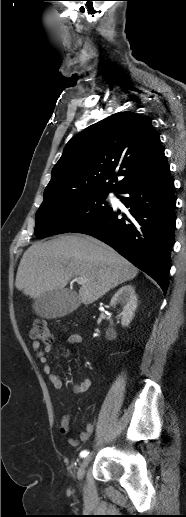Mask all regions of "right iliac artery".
I'll use <instances>...</instances> for the list:
<instances>
[{"mask_svg": "<svg viewBox=\"0 0 186 517\" xmlns=\"http://www.w3.org/2000/svg\"><path fill=\"white\" fill-rule=\"evenodd\" d=\"M88 453H89V452H88L87 450H83V451L80 453V457H81V458H84V457H86V456L88 455Z\"/></svg>", "mask_w": 186, "mask_h": 517, "instance_id": "right-iliac-artery-1", "label": "right iliac artery"}]
</instances>
